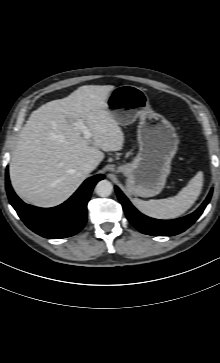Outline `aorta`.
Instances as JSON below:
<instances>
[{"label":"aorta","mask_w":220,"mask_h":363,"mask_svg":"<svg viewBox=\"0 0 220 363\" xmlns=\"http://www.w3.org/2000/svg\"><path fill=\"white\" fill-rule=\"evenodd\" d=\"M113 191V185L110 181L104 179L96 184L95 192L100 197H108Z\"/></svg>","instance_id":"obj_1"}]
</instances>
